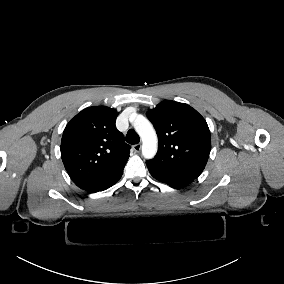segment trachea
<instances>
[{
    "label": "trachea",
    "instance_id": "obj_1",
    "mask_svg": "<svg viewBox=\"0 0 284 284\" xmlns=\"http://www.w3.org/2000/svg\"><path fill=\"white\" fill-rule=\"evenodd\" d=\"M126 141L129 144H137L140 141L139 135L133 129H130L126 134Z\"/></svg>",
    "mask_w": 284,
    "mask_h": 284
}]
</instances>
